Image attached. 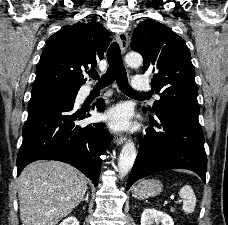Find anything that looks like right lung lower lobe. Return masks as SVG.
Returning <instances> with one entry per match:
<instances>
[{
    "instance_id": "obj_1",
    "label": "right lung lower lobe",
    "mask_w": 228,
    "mask_h": 225,
    "mask_svg": "<svg viewBox=\"0 0 228 225\" xmlns=\"http://www.w3.org/2000/svg\"><path fill=\"white\" fill-rule=\"evenodd\" d=\"M75 98L56 96L29 103L17 157V176L33 161L57 160L74 166L97 185L99 156L106 150L110 134L102 123L86 126L74 123L91 116L86 111H75ZM95 105L99 111L104 109L102 99Z\"/></svg>"
}]
</instances>
